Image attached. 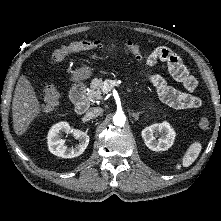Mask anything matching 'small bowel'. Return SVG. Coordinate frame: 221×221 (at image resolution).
<instances>
[{
  "instance_id": "obj_1",
  "label": "small bowel",
  "mask_w": 221,
  "mask_h": 221,
  "mask_svg": "<svg viewBox=\"0 0 221 221\" xmlns=\"http://www.w3.org/2000/svg\"><path fill=\"white\" fill-rule=\"evenodd\" d=\"M158 61L166 62L173 78L179 82L184 90H177L169 86L166 80L157 74H149L148 78L155 86L160 100L177 109H194L201 105V100L194 95L197 86L196 79L189 73L179 56L165 46L156 47L146 59L148 67Z\"/></svg>"
}]
</instances>
